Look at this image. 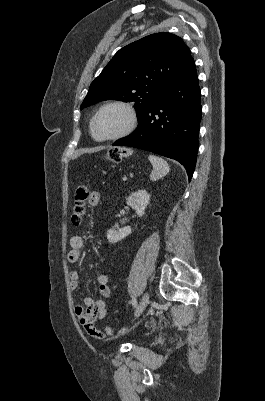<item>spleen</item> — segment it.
<instances>
[{"label": "spleen", "mask_w": 265, "mask_h": 401, "mask_svg": "<svg viewBox=\"0 0 265 401\" xmlns=\"http://www.w3.org/2000/svg\"><path fill=\"white\" fill-rule=\"evenodd\" d=\"M148 158L153 166V170L150 174V180H158V178H162V176L168 174L170 166L167 160L160 158V156H154V154H149Z\"/></svg>", "instance_id": "obj_1"}]
</instances>
